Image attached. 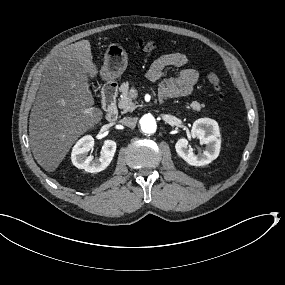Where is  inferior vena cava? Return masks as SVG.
I'll use <instances>...</instances> for the list:
<instances>
[{
    "label": "inferior vena cava",
    "mask_w": 285,
    "mask_h": 285,
    "mask_svg": "<svg viewBox=\"0 0 285 285\" xmlns=\"http://www.w3.org/2000/svg\"><path fill=\"white\" fill-rule=\"evenodd\" d=\"M121 123L129 128H135L136 123H137V118L136 117H124L123 119H121Z\"/></svg>",
    "instance_id": "obj_1"
}]
</instances>
